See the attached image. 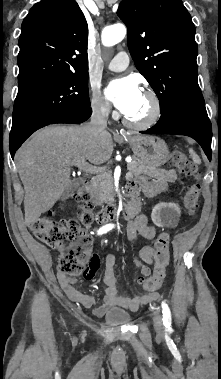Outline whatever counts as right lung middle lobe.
<instances>
[{
    "label": "right lung middle lobe",
    "mask_w": 221,
    "mask_h": 379,
    "mask_svg": "<svg viewBox=\"0 0 221 379\" xmlns=\"http://www.w3.org/2000/svg\"><path fill=\"white\" fill-rule=\"evenodd\" d=\"M13 109L10 143L90 107L88 73L63 74L19 84Z\"/></svg>",
    "instance_id": "obj_1"
}]
</instances>
